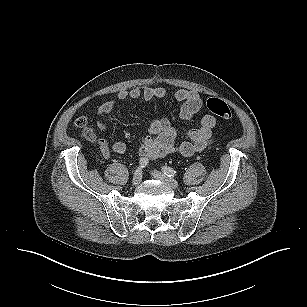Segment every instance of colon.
<instances>
[{
  "mask_svg": "<svg viewBox=\"0 0 307 307\" xmlns=\"http://www.w3.org/2000/svg\"><path fill=\"white\" fill-rule=\"evenodd\" d=\"M206 108L211 113L219 116L222 119L230 120L232 118V112L228 105L219 98H210L206 102ZM79 134L87 139V140H94L95 135L91 128L88 126L87 120L85 118H79L75 123Z\"/></svg>",
  "mask_w": 307,
  "mask_h": 307,
  "instance_id": "obj_1",
  "label": "colon"
}]
</instances>
